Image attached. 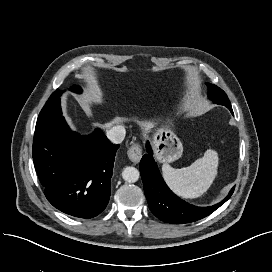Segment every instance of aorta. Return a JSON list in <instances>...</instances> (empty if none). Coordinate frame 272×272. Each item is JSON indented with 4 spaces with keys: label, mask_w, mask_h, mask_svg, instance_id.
Here are the masks:
<instances>
[{
    "label": "aorta",
    "mask_w": 272,
    "mask_h": 272,
    "mask_svg": "<svg viewBox=\"0 0 272 272\" xmlns=\"http://www.w3.org/2000/svg\"><path fill=\"white\" fill-rule=\"evenodd\" d=\"M140 173L138 169L132 166H128L122 171V178L128 183H134L138 181Z\"/></svg>",
    "instance_id": "obj_1"
}]
</instances>
